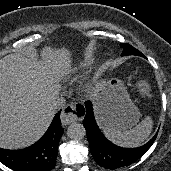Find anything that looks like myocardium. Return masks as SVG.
Instances as JSON below:
<instances>
[{"label": "myocardium", "instance_id": "myocardium-1", "mask_svg": "<svg viewBox=\"0 0 171 171\" xmlns=\"http://www.w3.org/2000/svg\"><path fill=\"white\" fill-rule=\"evenodd\" d=\"M89 91H90V86H89V84H88V83H83V84L81 85V87H80V92H81L82 94H87V93H89Z\"/></svg>", "mask_w": 171, "mask_h": 171}]
</instances>
